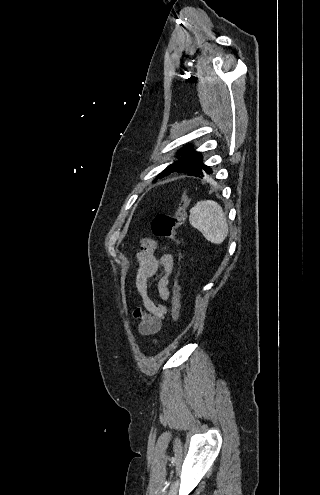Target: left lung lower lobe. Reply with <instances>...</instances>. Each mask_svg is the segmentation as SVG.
I'll list each match as a JSON object with an SVG mask.
<instances>
[{
	"mask_svg": "<svg viewBox=\"0 0 320 495\" xmlns=\"http://www.w3.org/2000/svg\"><path fill=\"white\" fill-rule=\"evenodd\" d=\"M205 173L210 174L212 173V170L201 162L200 164H198L197 166H195L185 174L189 176L203 178L205 176Z\"/></svg>",
	"mask_w": 320,
	"mask_h": 495,
	"instance_id": "1",
	"label": "left lung lower lobe"
}]
</instances>
